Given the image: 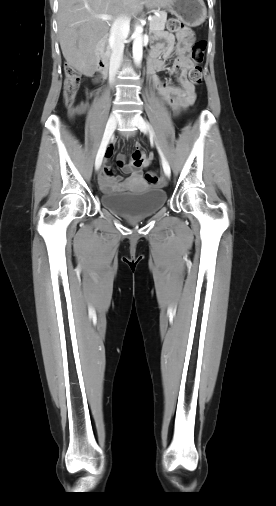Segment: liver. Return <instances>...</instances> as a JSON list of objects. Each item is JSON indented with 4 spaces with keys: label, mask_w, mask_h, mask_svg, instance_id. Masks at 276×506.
<instances>
[{
    "label": "liver",
    "mask_w": 276,
    "mask_h": 506,
    "mask_svg": "<svg viewBox=\"0 0 276 506\" xmlns=\"http://www.w3.org/2000/svg\"><path fill=\"white\" fill-rule=\"evenodd\" d=\"M171 0H59L58 35L62 54L68 65L85 75L95 71L93 54L97 42L109 30L112 17H135L145 5L147 8H165Z\"/></svg>",
    "instance_id": "liver-1"
}]
</instances>
